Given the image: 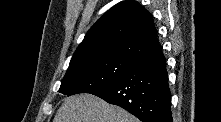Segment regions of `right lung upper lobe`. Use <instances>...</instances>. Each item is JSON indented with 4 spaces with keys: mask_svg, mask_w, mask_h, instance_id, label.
Segmentation results:
<instances>
[{
    "mask_svg": "<svg viewBox=\"0 0 221 122\" xmlns=\"http://www.w3.org/2000/svg\"><path fill=\"white\" fill-rule=\"evenodd\" d=\"M158 44L151 14L134 0L122 1L91 27L69 67L105 56L136 60Z\"/></svg>",
    "mask_w": 221,
    "mask_h": 122,
    "instance_id": "right-lung-upper-lobe-1",
    "label": "right lung upper lobe"
}]
</instances>
